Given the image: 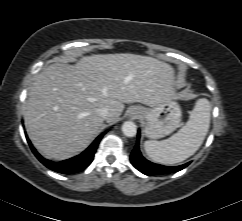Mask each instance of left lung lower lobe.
<instances>
[{
    "label": "left lung lower lobe",
    "instance_id": "left-lung-lower-lobe-1",
    "mask_svg": "<svg viewBox=\"0 0 242 221\" xmlns=\"http://www.w3.org/2000/svg\"><path fill=\"white\" fill-rule=\"evenodd\" d=\"M139 137H140V133H138V140H137L134 150L131 153L130 161L133 164V166L136 169H138L140 172H142L143 174L148 175V176L159 175V174H169V173L180 171L189 164V163H186V164L180 165V166L169 167V166L154 164V163L146 160L142 156V154L139 150Z\"/></svg>",
    "mask_w": 242,
    "mask_h": 221
}]
</instances>
